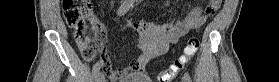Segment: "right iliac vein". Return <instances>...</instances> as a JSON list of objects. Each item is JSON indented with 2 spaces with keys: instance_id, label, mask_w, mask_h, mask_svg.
Instances as JSON below:
<instances>
[{
  "instance_id": "63e3f726",
  "label": "right iliac vein",
  "mask_w": 279,
  "mask_h": 82,
  "mask_svg": "<svg viewBox=\"0 0 279 82\" xmlns=\"http://www.w3.org/2000/svg\"><path fill=\"white\" fill-rule=\"evenodd\" d=\"M96 82H104V75L102 73L97 75Z\"/></svg>"
}]
</instances>
